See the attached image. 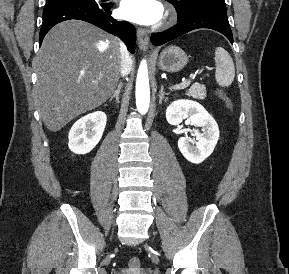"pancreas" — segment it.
Segmentation results:
<instances>
[{"mask_svg":"<svg viewBox=\"0 0 289 274\" xmlns=\"http://www.w3.org/2000/svg\"><path fill=\"white\" fill-rule=\"evenodd\" d=\"M186 95L191 96L195 99L203 100L206 97V87L199 83H195L186 92Z\"/></svg>","mask_w":289,"mask_h":274,"instance_id":"1","label":"pancreas"}]
</instances>
